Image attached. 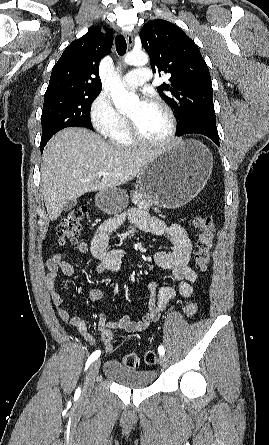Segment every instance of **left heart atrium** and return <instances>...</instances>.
<instances>
[{"mask_svg":"<svg viewBox=\"0 0 269 445\" xmlns=\"http://www.w3.org/2000/svg\"><path fill=\"white\" fill-rule=\"evenodd\" d=\"M141 103H142V104H146L147 102H146V101H142Z\"/></svg>","mask_w":269,"mask_h":445,"instance_id":"obj_1","label":"left heart atrium"}]
</instances>
